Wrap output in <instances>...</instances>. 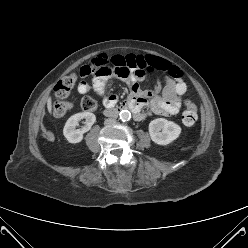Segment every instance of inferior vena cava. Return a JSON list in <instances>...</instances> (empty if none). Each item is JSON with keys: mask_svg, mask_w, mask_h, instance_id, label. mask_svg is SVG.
<instances>
[{"mask_svg": "<svg viewBox=\"0 0 248 248\" xmlns=\"http://www.w3.org/2000/svg\"><path fill=\"white\" fill-rule=\"evenodd\" d=\"M116 122V120L115 119H113V118H108V119H106L105 120V125H112V124H114Z\"/></svg>", "mask_w": 248, "mask_h": 248, "instance_id": "obj_1", "label": "inferior vena cava"}]
</instances>
